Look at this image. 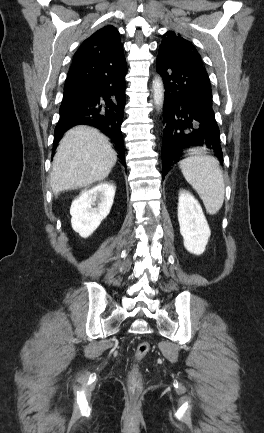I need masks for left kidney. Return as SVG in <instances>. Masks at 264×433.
<instances>
[{"mask_svg":"<svg viewBox=\"0 0 264 433\" xmlns=\"http://www.w3.org/2000/svg\"><path fill=\"white\" fill-rule=\"evenodd\" d=\"M178 221L186 250L201 255L205 251L211 231L200 204L185 190L179 192Z\"/></svg>","mask_w":264,"mask_h":433,"instance_id":"left-kidney-1","label":"left kidney"}]
</instances>
